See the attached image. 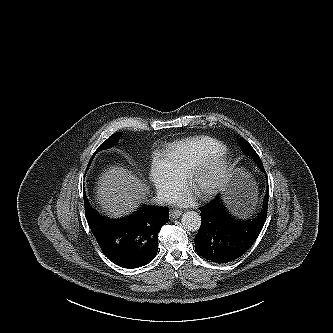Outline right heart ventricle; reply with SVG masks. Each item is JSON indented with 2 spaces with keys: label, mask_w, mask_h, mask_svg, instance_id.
<instances>
[{
  "label": "right heart ventricle",
  "mask_w": 333,
  "mask_h": 333,
  "mask_svg": "<svg viewBox=\"0 0 333 333\" xmlns=\"http://www.w3.org/2000/svg\"><path fill=\"white\" fill-rule=\"evenodd\" d=\"M225 149L223 143L209 136H194L176 141L163 150V159L180 178L203 158Z\"/></svg>",
  "instance_id": "right-heart-ventricle-1"
}]
</instances>
